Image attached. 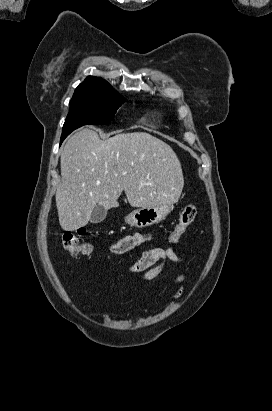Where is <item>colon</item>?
<instances>
[{
	"mask_svg": "<svg viewBox=\"0 0 272 411\" xmlns=\"http://www.w3.org/2000/svg\"><path fill=\"white\" fill-rule=\"evenodd\" d=\"M198 214V209L195 204L186 205L179 217L178 222L174 226L171 234L170 241L177 242L186 233L189 227L193 224ZM82 232L64 231L62 233V243L64 249L70 254H89L91 246L88 243H82L79 236Z\"/></svg>",
	"mask_w": 272,
	"mask_h": 411,
	"instance_id": "5ec220e1",
	"label": "colon"
}]
</instances>
